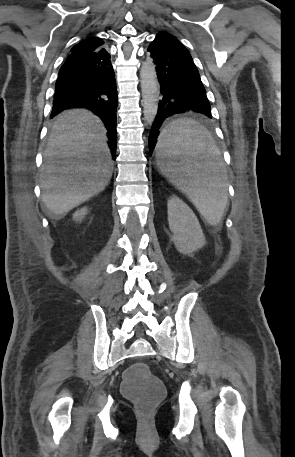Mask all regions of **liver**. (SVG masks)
Masks as SVG:
<instances>
[{"label":"liver","mask_w":295,"mask_h":457,"mask_svg":"<svg viewBox=\"0 0 295 457\" xmlns=\"http://www.w3.org/2000/svg\"><path fill=\"white\" fill-rule=\"evenodd\" d=\"M100 119L85 109L60 114L45 150L41 170L42 200L56 216L102 192L113 163Z\"/></svg>","instance_id":"1"}]
</instances>
